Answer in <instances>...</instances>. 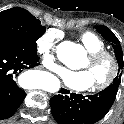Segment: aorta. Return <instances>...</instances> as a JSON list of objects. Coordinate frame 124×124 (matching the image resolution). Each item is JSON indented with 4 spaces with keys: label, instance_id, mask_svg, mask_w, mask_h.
<instances>
[{
    "label": "aorta",
    "instance_id": "762f6f07",
    "mask_svg": "<svg viewBox=\"0 0 124 124\" xmlns=\"http://www.w3.org/2000/svg\"><path fill=\"white\" fill-rule=\"evenodd\" d=\"M64 50L74 60H78L85 55L84 49L80 45L72 42H66L64 44ZM43 89L48 92L55 93L60 89V82L56 77H51L43 85Z\"/></svg>",
    "mask_w": 124,
    "mask_h": 124
}]
</instances>
